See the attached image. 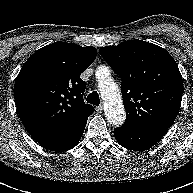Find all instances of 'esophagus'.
<instances>
[{
    "label": "esophagus",
    "instance_id": "obj_1",
    "mask_svg": "<svg viewBox=\"0 0 193 193\" xmlns=\"http://www.w3.org/2000/svg\"><path fill=\"white\" fill-rule=\"evenodd\" d=\"M103 106L102 105H100V106H98V107H96V111L98 112V113H101V112H103Z\"/></svg>",
    "mask_w": 193,
    "mask_h": 193
}]
</instances>
